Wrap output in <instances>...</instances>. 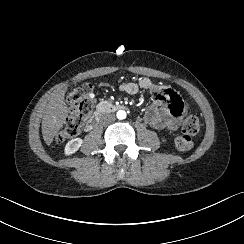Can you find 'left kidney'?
I'll return each mask as SVG.
<instances>
[{
  "label": "left kidney",
  "instance_id": "obj_1",
  "mask_svg": "<svg viewBox=\"0 0 244 244\" xmlns=\"http://www.w3.org/2000/svg\"><path fill=\"white\" fill-rule=\"evenodd\" d=\"M160 141H161V143L164 144V145H167V144H168V140H167L166 137H161V138H160Z\"/></svg>",
  "mask_w": 244,
  "mask_h": 244
}]
</instances>
